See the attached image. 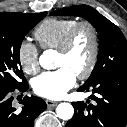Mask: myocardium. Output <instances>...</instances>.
<instances>
[{"mask_svg": "<svg viewBox=\"0 0 127 127\" xmlns=\"http://www.w3.org/2000/svg\"><path fill=\"white\" fill-rule=\"evenodd\" d=\"M83 30H87L91 36L92 50H91V56H90L87 67L85 68L84 71L76 75L77 78L79 79L88 78L93 73L97 65L99 51H100V39H99V34H98L96 27L88 21L79 22L68 32V34L63 39L61 45L57 48V52L59 54L61 55L68 54L78 34Z\"/></svg>", "mask_w": 127, "mask_h": 127, "instance_id": "1", "label": "myocardium"}]
</instances>
